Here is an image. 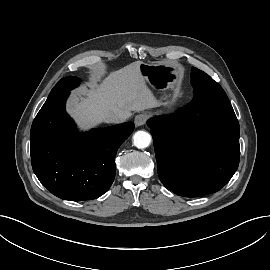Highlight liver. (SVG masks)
<instances>
[{
	"label": "liver",
	"instance_id": "1",
	"mask_svg": "<svg viewBox=\"0 0 270 270\" xmlns=\"http://www.w3.org/2000/svg\"><path fill=\"white\" fill-rule=\"evenodd\" d=\"M140 61L111 72L100 84L83 89L70 101L68 112L88 128L106 121L107 114L127 113L160 106L140 72Z\"/></svg>",
	"mask_w": 270,
	"mask_h": 270
}]
</instances>
